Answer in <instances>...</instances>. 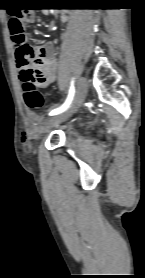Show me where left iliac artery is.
Listing matches in <instances>:
<instances>
[{
	"mask_svg": "<svg viewBox=\"0 0 145 278\" xmlns=\"http://www.w3.org/2000/svg\"><path fill=\"white\" fill-rule=\"evenodd\" d=\"M74 95H75V88H74V81H72L69 92H68V96H67L65 102L60 107L50 111L49 115L53 116V115H57V114H60L63 111H65L70 106Z\"/></svg>",
	"mask_w": 145,
	"mask_h": 278,
	"instance_id": "44dca946",
	"label": "left iliac artery"
}]
</instances>
